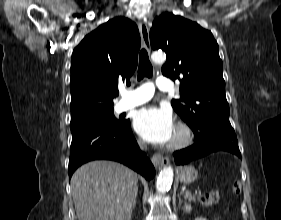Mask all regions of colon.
Returning a JSON list of instances; mask_svg holds the SVG:
<instances>
[{
    "mask_svg": "<svg viewBox=\"0 0 281 220\" xmlns=\"http://www.w3.org/2000/svg\"><path fill=\"white\" fill-rule=\"evenodd\" d=\"M233 193L239 195L241 193V185L239 182L233 184ZM220 194L218 190L213 189L205 193L202 197V202L206 205H213L219 201Z\"/></svg>",
    "mask_w": 281,
    "mask_h": 220,
    "instance_id": "obj_1",
    "label": "colon"
}]
</instances>
